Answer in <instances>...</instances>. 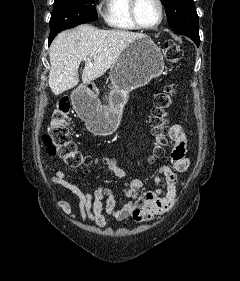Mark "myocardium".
Here are the masks:
<instances>
[{
  "label": "myocardium",
  "mask_w": 240,
  "mask_h": 281,
  "mask_svg": "<svg viewBox=\"0 0 240 281\" xmlns=\"http://www.w3.org/2000/svg\"><path fill=\"white\" fill-rule=\"evenodd\" d=\"M155 1H156V3L159 6V13H160L159 20L154 25L146 26V25H143L140 22L139 18H138L137 7H138L139 0H130V4H129L130 18H131L133 24L138 29H141V30H154V29L158 28L162 24V22L164 20V17H165L164 3H163L162 0H155Z\"/></svg>",
  "instance_id": "1"
}]
</instances>
